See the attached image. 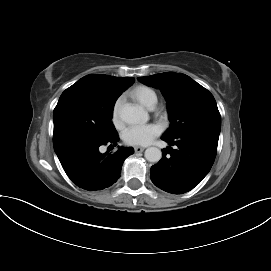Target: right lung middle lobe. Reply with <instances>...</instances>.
<instances>
[{
    "instance_id": "1",
    "label": "right lung middle lobe",
    "mask_w": 271,
    "mask_h": 271,
    "mask_svg": "<svg viewBox=\"0 0 271 271\" xmlns=\"http://www.w3.org/2000/svg\"><path fill=\"white\" fill-rule=\"evenodd\" d=\"M120 95L101 91L80 80L67 88L53 112L55 152L70 144L116 136L110 120Z\"/></svg>"
}]
</instances>
